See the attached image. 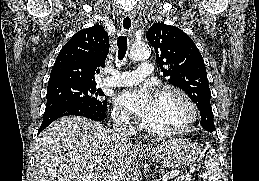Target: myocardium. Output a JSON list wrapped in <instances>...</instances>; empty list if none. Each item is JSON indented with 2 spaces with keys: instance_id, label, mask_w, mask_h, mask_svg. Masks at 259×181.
I'll return each mask as SVG.
<instances>
[{
  "instance_id": "obj_1",
  "label": "myocardium",
  "mask_w": 259,
  "mask_h": 181,
  "mask_svg": "<svg viewBox=\"0 0 259 181\" xmlns=\"http://www.w3.org/2000/svg\"><path fill=\"white\" fill-rule=\"evenodd\" d=\"M167 93L177 96L184 103L187 109V119L181 126L173 129H155L143 122V128L151 135L160 137L179 135L190 130L197 122L198 112L196 106L189 95L183 89L175 85H164L156 91L155 96L158 97Z\"/></svg>"
}]
</instances>
